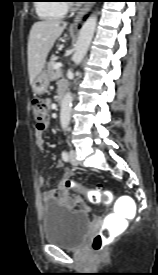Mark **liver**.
<instances>
[{
  "instance_id": "liver-1",
  "label": "liver",
  "mask_w": 158,
  "mask_h": 275,
  "mask_svg": "<svg viewBox=\"0 0 158 275\" xmlns=\"http://www.w3.org/2000/svg\"><path fill=\"white\" fill-rule=\"evenodd\" d=\"M66 22L37 21L32 25L28 39V72L30 83L44 68L47 55L66 27Z\"/></svg>"
}]
</instances>
